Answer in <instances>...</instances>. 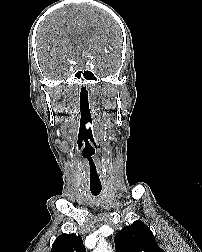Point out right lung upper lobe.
<instances>
[{"label":"right lung upper lobe","mask_w":202,"mask_h":252,"mask_svg":"<svg viewBox=\"0 0 202 252\" xmlns=\"http://www.w3.org/2000/svg\"><path fill=\"white\" fill-rule=\"evenodd\" d=\"M51 252H86V250L80 236L62 234L54 241Z\"/></svg>","instance_id":"obj_1"}]
</instances>
